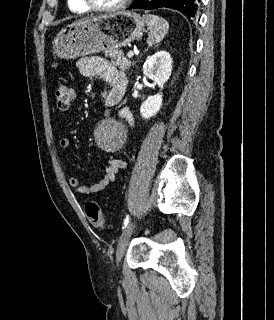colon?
<instances>
[{
	"label": "colon",
	"mask_w": 274,
	"mask_h": 320,
	"mask_svg": "<svg viewBox=\"0 0 274 320\" xmlns=\"http://www.w3.org/2000/svg\"><path fill=\"white\" fill-rule=\"evenodd\" d=\"M54 99L59 110H66L74 98V90L65 83H58L54 89ZM85 212L89 221L98 228L104 227V215L100 203L89 201L85 204Z\"/></svg>",
	"instance_id": "obj_1"
}]
</instances>
